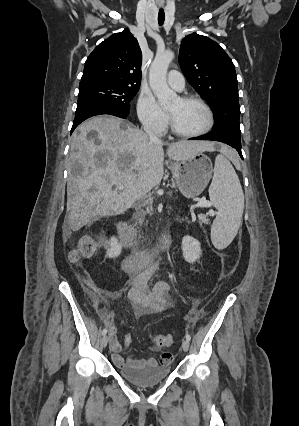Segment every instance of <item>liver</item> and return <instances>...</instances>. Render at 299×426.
Masks as SVG:
<instances>
[{
  "mask_svg": "<svg viewBox=\"0 0 299 426\" xmlns=\"http://www.w3.org/2000/svg\"><path fill=\"white\" fill-rule=\"evenodd\" d=\"M96 131L95 138L87 135ZM163 143H151L146 133L111 116L93 117L72 135L68 159L67 220L77 231L96 216H110L129 209L163 178ZM210 141H180L168 145L175 161L203 151H214ZM220 152L227 153L226 147ZM82 172L74 176L73 168ZM122 184L118 191L113 186Z\"/></svg>",
  "mask_w": 299,
  "mask_h": 426,
  "instance_id": "1",
  "label": "liver"
}]
</instances>
